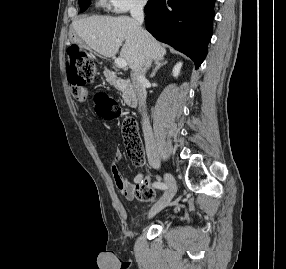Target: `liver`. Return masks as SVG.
<instances>
[{
  "instance_id": "liver-1",
  "label": "liver",
  "mask_w": 286,
  "mask_h": 269,
  "mask_svg": "<svg viewBox=\"0 0 286 269\" xmlns=\"http://www.w3.org/2000/svg\"><path fill=\"white\" fill-rule=\"evenodd\" d=\"M72 27L90 49L104 57L115 56L124 42L120 57L132 71L141 70L147 57L157 60L166 54L161 43L133 18L92 16L73 21Z\"/></svg>"
}]
</instances>
